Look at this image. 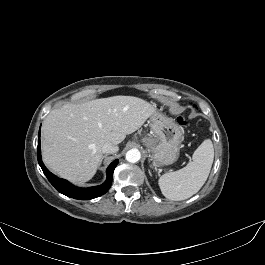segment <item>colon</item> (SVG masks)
I'll use <instances>...</instances> for the list:
<instances>
[{"mask_svg": "<svg viewBox=\"0 0 265 265\" xmlns=\"http://www.w3.org/2000/svg\"><path fill=\"white\" fill-rule=\"evenodd\" d=\"M179 122H180L181 124H183V125H186V124H187V121H186L185 118H183V117H180V118H179Z\"/></svg>", "mask_w": 265, "mask_h": 265, "instance_id": "5ec220e1", "label": "colon"}]
</instances>
